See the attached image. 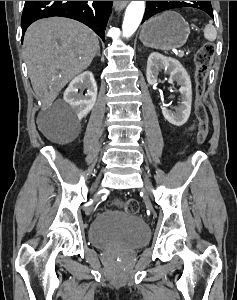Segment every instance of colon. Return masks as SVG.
<instances>
[{
  "label": "colon",
  "mask_w": 237,
  "mask_h": 300,
  "mask_svg": "<svg viewBox=\"0 0 237 300\" xmlns=\"http://www.w3.org/2000/svg\"><path fill=\"white\" fill-rule=\"evenodd\" d=\"M215 54V46L207 42L203 44L197 51L194 59L195 73V92H196V117L198 120V132L196 141L198 144H203L208 134L209 119L206 107L203 103L206 83L210 74V69ZM126 213L136 214L139 211V203L134 199L125 201L118 200L116 202Z\"/></svg>",
  "instance_id": "1"
}]
</instances>
